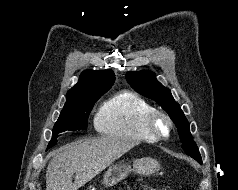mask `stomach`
Returning a JSON list of instances; mask_svg holds the SVG:
<instances>
[{"label": "stomach", "instance_id": "stomach-1", "mask_svg": "<svg viewBox=\"0 0 238 190\" xmlns=\"http://www.w3.org/2000/svg\"><path fill=\"white\" fill-rule=\"evenodd\" d=\"M131 170V166L127 163H116L104 174L103 184L108 187L114 186L125 179ZM133 170L138 174L149 176L160 170V164L153 158L145 157L134 162Z\"/></svg>", "mask_w": 238, "mask_h": 190}]
</instances>
